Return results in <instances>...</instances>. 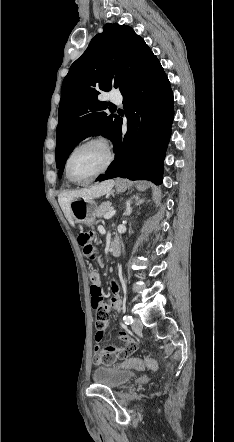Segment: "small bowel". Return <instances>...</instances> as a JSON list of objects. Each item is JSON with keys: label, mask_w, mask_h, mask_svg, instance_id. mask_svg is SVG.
<instances>
[{"label": "small bowel", "mask_w": 234, "mask_h": 442, "mask_svg": "<svg viewBox=\"0 0 234 442\" xmlns=\"http://www.w3.org/2000/svg\"><path fill=\"white\" fill-rule=\"evenodd\" d=\"M97 285L100 287V280ZM110 290L113 297L108 303V309L119 312L122 304L117 297L119 286L115 280L110 281ZM109 321V314H96L93 322L94 327L97 328L95 331V340L97 342L95 346V363L98 364L99 367H102L103 364L106 368H110L112 365L117 364V362L127 359L128 356L135 355L136 350L139 348V343L134 342V338L124 332H120L118 335L119 340L124 342V344H121L123 348L115 347L109 342H104L103 337Z\"/></svg>", "instance_id": "small-bowel-1"}]
</instances>
